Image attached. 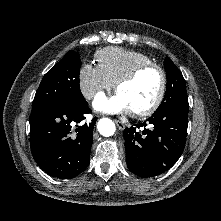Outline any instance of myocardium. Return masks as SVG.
Instances as JSON below:
<instances>
[{"instance_id": "myocardium-1", "label": "myocardium", "mask_w": 221, "mask_h": 221, "mask_svg": "<svg viewBox=\"0 0 221 221\" xmlns=\"http://www.w3.org/2000/svg\"><path fill=\"white\" fill-rule=\"evenodd\" d=\"M150 69H155L159 72L160 77H161V86H160V90L159 93L156 97V99L154 100V102L148 106L145 109L142 110H136V111H132V115L135 117H147L152 115L162 104L165 94H166V90H167V74L165 72V70L156 63H144L141 65L136 66L134 69H132L130 72H128L127 74H125L124 76H122L117 82H116V90L118 91L123 85L128 84L132 81H134L139 75H141L143 72L150 70Z\"/></svg>"}]
</instances>
